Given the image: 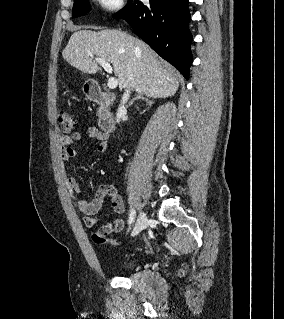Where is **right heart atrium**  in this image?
Returning a JSON list of instances; mask_svg holds the SVG:
<instances>
[{
    "instance_id": "obj_1",
    "label": "right heart atrium",
    "mask_w": 284,
    "mask_h": 319,
    "mask_svg": "<svg viewBox=\"0 0 284 319\" xmlns=\"http://www.w3.org/2000/svg\"><path fill=\"white\" fill-rule=\"evenodd\" d=\"M94 3L105 13L119 12L124 6V0H93Z\"/></svg>"
}]
</instances>
